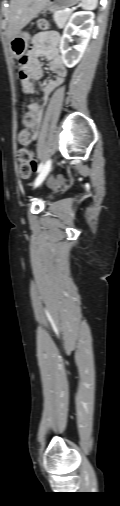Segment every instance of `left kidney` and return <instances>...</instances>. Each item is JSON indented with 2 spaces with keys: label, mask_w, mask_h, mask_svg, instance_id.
Listing matches in <instances>:
<instances>
[{
  "label": "left kidney",
  "mask_w": 120,
  "mask_h": 506,
  "mask_svg": "<svg viewBox=\"0 0 120 506\" xmlns=\"http://www.w3.org/2000/svg\"><path fill=\"white\" fill-rule=\"evenodd\" d=\"M93 29L94 17L92 13L79 11L71 16L64 28L59 46L62 60L67 67H74L80 61L92 36ZM73 32L77 33L79 39L74 51L70 53L69 42Z\"/></svg>",
  "instance_id": "5707ae66"
}]
</instances>
